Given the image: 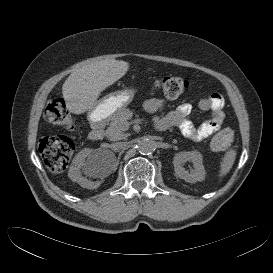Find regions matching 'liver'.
<instances>
[{
    "mask_svg": "<svg viewBox=\"0 0 273 273\" xmlns=\"http://www.w3.org/2000/svg\"><path fill=\"white\" fill-rule=\"evenodd\" d=\"M128 70V62L115 59L94 61L77 68L62 86L66 108L74 114L89 111L96 105L100 93Z\"/></svg>",
    "mask_w": 273,
    "mask_h": 273,
    "instance_id": "liver-1",
    "label": "liver"
}]
</instances>
